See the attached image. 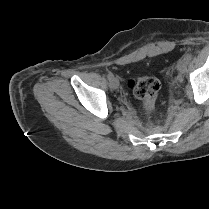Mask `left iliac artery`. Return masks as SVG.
Segmentation results:
<instances>
[{"instance_id": "44dca946", "label": "left iliac artery", "mask_w": 209, "mask_h": 209, "mask_svg": "<svg viewBox=\"0 0 209 209\" xmlns=\"http://www.w3.org/2000/svg\"><path fill=\"white\" fill-rule=\"evenodd\" d=\"M184 59L189 62L192 59V54L191 53H187L184 55Z\"/></svg>"}]
</instances>
